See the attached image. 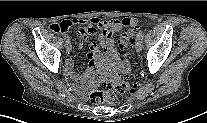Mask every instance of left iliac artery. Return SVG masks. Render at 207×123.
<instances>
[{
    "mask_svg": "<svg viewBox=\"0 0 207 123\" xmlns=\"http://www.w3.org/2000/svg\"><path fill=\"white\" fill-rule=\"evenodd\" d=\"M137 37L143 39V31L142 30H139Z\"/></svg>",
    "mask_w": 207,
    "mask_h": 123,
    "instance_id": "44dca946",
    "label": "left iliac artery"
}]
</instances>
